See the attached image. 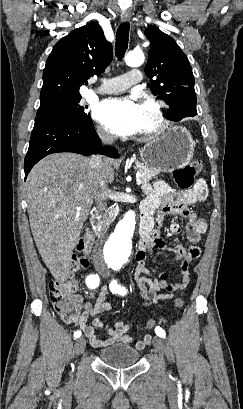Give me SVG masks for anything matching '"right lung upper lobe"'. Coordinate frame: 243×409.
I'll return each mask as SVG.
<instances>
[{
    "instance_id": "1",
    "label": "right lung upper lobe",
    "mask_w": 243,
    "mask_h": 409,
    "mask_svg": "<svg viewBox=\"0 0 243 409\" xmlns=\"http://www.w3.org/2000/svg\"><path fill=\"white\" fill-rule=\"evenodd\" d=\"M112 58V45L97 23L73 30L55 44L46 61L40 101L80 95L79 88L104 72Z\"/></svg>"
}]
</instances>
